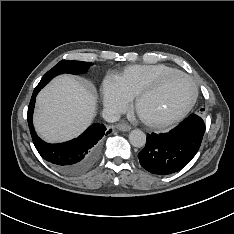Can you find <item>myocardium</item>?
I'll use <instances>...</instances> for the list:
<instances>
[{
  "instance_id": "myocardium-1",
  "label": "myocardium",
  "mask_w": 234,
  "mask_h": 234,
  "mask_svg": "<svg viewBox=\"0 0 234 234\" xmlns=\"http://www.w3.org/2000/svg\"><path fill=\"white\" fill-rule=\"evenodd\" d=\"M180 76L187 79L193 87V94L189 101V103L179 112L168 115V116H161V117H147L141 111L142 103L146 98L154 94L166 81L170 78ZM198 98V87L194 79L189 76L188 74L181 72V71H174L171 73H167L160 78H158L154 83L150 86L143 89L135 98V111L138 117L148 126L151 127H163L170 124H173L181 119H183L193 108Z\"/></svg>"
}]
</instances>
